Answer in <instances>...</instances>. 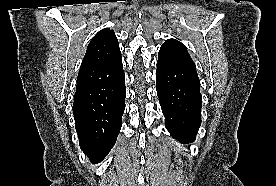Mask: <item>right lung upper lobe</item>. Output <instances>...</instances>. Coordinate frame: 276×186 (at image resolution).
<instances>
[{"label": "right lung upper lobe", "mask_w": 276, "mask_h": 186, "mask_svg": "<svg viewBox=\"0 0 276 186\" xmlns=\"http://www.w3.org/2000/svg\"><path fill=\"white\" fill-rule=\"evenodd\" d=\"M124 73L117 37L113 30H100L90 41L77 79V88L105 84Z\"/></svg>", "instance_id": "1"}]
</instances>
